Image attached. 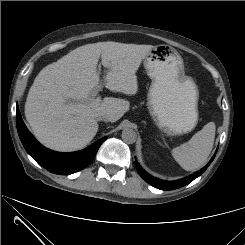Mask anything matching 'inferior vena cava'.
Listing matches in <instances>:
<instances>
[{"instance_id":"602c4592","label":"inferior vena cava","mask_w":245,"mask_h":245,"mask_svg":"<svg viewBox=\"0 0 245 245\" xmlns=\"http://www.w3.org/2000/svg\"><path fill=\"white\" fill-rule=\"evenodd\" d=\"M96 120L108 122V121H110V118L107 115H99V116H97Z\"/></svg>"}]
</instances>
